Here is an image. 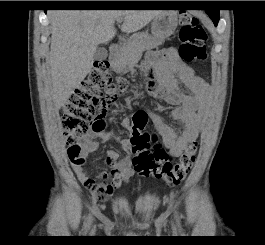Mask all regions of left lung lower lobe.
Instances as JSON below:
<instances>
[{"instance_id": "1", "label": "left lung lower lobe", "mask_w": 265, "mask_h": 245, "mask_svg": "<svg viewBox=\"0 0 265 245\" xmlns=\"http://www.w3.org/2000/svg\"><path fill=\"white\" fill-rule=\"evenodd\" d=\"M207 14L210 16V18L213 20L214 24L217 25L218 21H219V10L217 9H210V10H206Z\"/></svg>"}]
</instances>
